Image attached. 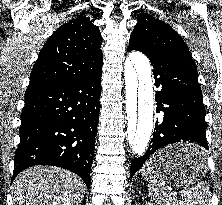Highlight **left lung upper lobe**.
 Segmentation results:
<instances>
[{
    "label": "left lung upper lobe",
    "mask_w": 222,
    "mask_h": 205,
    "mask_svg": "<svg viewBox=\"0 0 222 205\" xmlns=\"http://www.w3.org/2000/svg\"><path fill=\"white\" fill-rule=\"evenodd\" d=\"M130 44L147 52L176 53L192 60L187 44L165 22L141 13L130 36Z\"/></svg>",
    "instance_id": "1"
}]
</instances>
